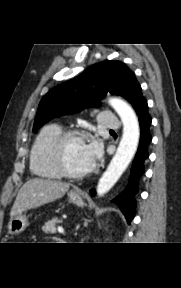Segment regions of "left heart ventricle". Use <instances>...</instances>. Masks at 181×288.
I'll list each match as a JSON object with an SVG mask.
<instances>
[{"mask_svg": "<svg viewBox=\"0 0 181 288\" xmlns=\"http://www.w3.org/2000/svg\"><path fill=\"white\" fill-rule=\"evenodd\" d=\"M85 149V139H74L67 143L65 148V161L71 170L82 172L92 165L87 158Z\"/></svg>", "mask_w": 181, "mask_h": 288, "instance_id": "left-heart-ventricle-1", "label": "left heart ventricle"}]
</instances>
